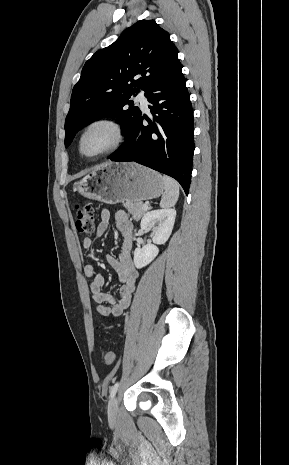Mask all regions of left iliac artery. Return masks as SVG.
Here are the masks:
<instances>
[{
    "label": "left iliac artery",
    "mask_w": 289,
    "mask_h": 465,
    "mask_svg": "<svg viewBox=\"0 0 289 465\" xmlns=\"http://www.w3.org/2000/svg\"><path fill=\"white\" fill-rule=\"evenodd\" d=\"M119 382H116L113 386L110 388V398H113L118 390Z\"/></svg>",
    "instance_id": "left-iliac-artery-1"
}]
</instances>
